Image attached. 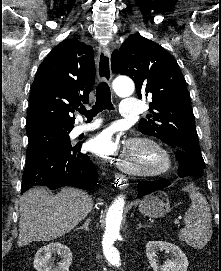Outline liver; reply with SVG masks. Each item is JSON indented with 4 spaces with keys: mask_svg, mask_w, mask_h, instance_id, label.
Here are the masks:
<instances>
[{
    "mask_svg": "<svg viewBox=\"0 0 221 271\" xmlns=\"http://www.w3.org/2000/svg\"><path fill=\"white\" fill-rule=\"evenodd\" d=\"M93 205L92 197L76 187H62L57 195H51L47 187H31L20 199L18 247L65 235L85 219Z\"/></svg>",
    "mask_w": 221,
    "mask_h": 271,
    "instance_id": "obj_1",
    "label": "liver"
}]
</instances>
